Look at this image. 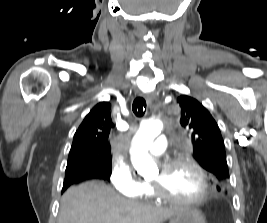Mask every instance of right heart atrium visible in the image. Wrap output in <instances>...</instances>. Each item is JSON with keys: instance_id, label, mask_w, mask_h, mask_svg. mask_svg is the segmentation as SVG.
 <instances>
[{"instance_id": "d8ad5b80", "label": "right heart atrium", "mask_w": 267, "mask_h": 223, "mask_svg": "<svg viewBox=\"0 0 267 223\" xmlns=\"http://www.w3.org/2000/svg\"><path fill=\"white\" fill-rule=\"evenodd\" d=\"M110 180L118 193L127 196H140L144 185L131 165L126 162H117L113 165Z\"/></svg>"}]
</instances>
